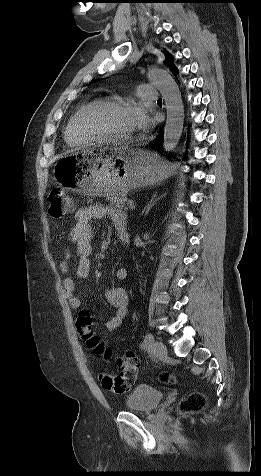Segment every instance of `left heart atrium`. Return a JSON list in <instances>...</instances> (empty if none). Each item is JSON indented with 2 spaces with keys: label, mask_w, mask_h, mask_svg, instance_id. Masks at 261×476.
I'll use <instances>...</instances> for the list:
<instances>
[{
  "label": "left heart atrium",
  "mask_w": 261,
  "mask_h": 476,
  "mask_svg": "<svg viewBox=\"0 0 261 476\" xmlns=\"http://www.w3.org/2000/svg\"><path fill=\"white\" fill-rule=\"evenodd\" d=\"M132 118L134 130L146 131L151 126V119L144 108L135 106L132 108Z\"/></svg>",
  "instance_id": "obj_1"
}]
</instances>
